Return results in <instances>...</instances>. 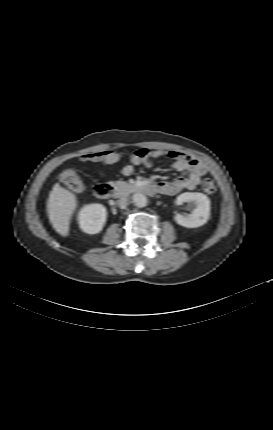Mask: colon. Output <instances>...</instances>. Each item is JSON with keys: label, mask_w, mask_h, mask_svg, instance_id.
<instances>
[{"label": "colon", "mask_w": 273, "mask_h": 430, "mask_svg": "<svg viewBox=\"0 0 273 430\" xmlns=\"http://www.w3.org/2000/svg\"><path fill=\"white\" fill-rule=\"evenodd\" d=\"M61 181L64 185L76 192L84 189L83 181L80 179L76 171L72 168L64 169L60 175ZM217 189L216 183L211 179H205L203 182V190L208 194H213Z\"/></svg>", "instance_id": "obj_1"}]
</instances>
